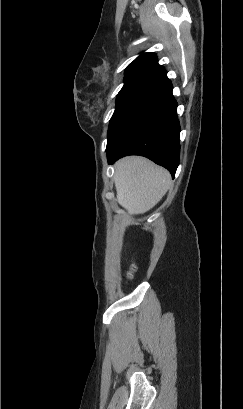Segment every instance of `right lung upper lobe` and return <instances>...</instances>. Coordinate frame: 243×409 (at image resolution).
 I'll list each match as a JSON object with an SVG mask.
<instances>
[{
  "instance_id": "obj_1",
  "label": "right lung upper lobe",
  "mask_w": 243,
  "mask_h": 409,
  "mask_svg": "<svg viewBox=\"0 0 243 409\" xmlns=\"http://www.w3.org/2000/svg\"><path fill=\"white\" fill-rule=\"evenodd\" d=\"M151 78L164 81L167 78L165 69L158 64L154 53H142L125 70V80Z\"/></svg>"
}]
</instances>
